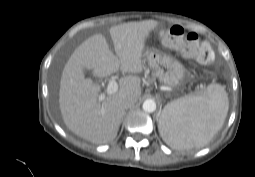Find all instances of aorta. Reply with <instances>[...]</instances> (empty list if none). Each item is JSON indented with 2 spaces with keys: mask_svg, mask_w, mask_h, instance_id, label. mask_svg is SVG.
Wrapping results in <instances>:
<instances>
[{
  "mask_svg": "<svg viewBox=\"0 0 255 177\" xmlns=\"http://www.w3.org/2000/svg\"><path fill=\"white\" fill-rule=\"evenodd\" d=\"M142 108L144 111L152 113L156 110V103L152 99H147L143 102Z\"/></svg>",
  "mask_w": 255,
  "mask_h": 177,
  "instance_id": "1",
  "label": "aorta"
}]
</instances>
